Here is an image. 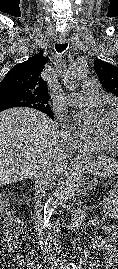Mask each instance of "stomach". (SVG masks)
Masks as SVG:
<instances>
[{"instance_id": "obj_1", "label": "stomach", "mask_w": 118, "mask_h": 269, "mask_svg": "<svg viewBox=\"0 0 118 269\" xmlns=\"http://www.w3.org/2000/svg\"><path fill=\"white\" fill-rule=\"evenodd\" d=\"M83 168L99 178L113 177L118 174V162L109 157L99 158L96 162L83 165Z\"/></svg>"}]
</instances>
